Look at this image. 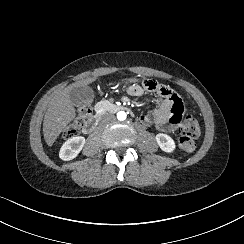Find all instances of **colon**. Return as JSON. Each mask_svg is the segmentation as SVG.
<instances>
[{
	"instance_id": "obj_1",
	"label": "colon",
	"mask_w": 244,
	"mask_h": 244,
	"mask_svg": "<svg viewBox=\"0 0 244 244\" xmlns=\"http://www.w3.org/2000/svg\"><path fill=\"white\" fill-rule=\"evenodd\" d=\"M89 113V104L86 103L85 106L81 107L78 116L76 117L74 123L69 125L66 129L67 134H75L79 125L81 124L84 117ZM180 137L178 139L179 148L187 153H191L196 148V137L200 134V125L198 121L190 116L185 115L182 119L181 124L179 125Z\"/></svg>"
}]
</instances>
